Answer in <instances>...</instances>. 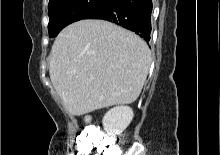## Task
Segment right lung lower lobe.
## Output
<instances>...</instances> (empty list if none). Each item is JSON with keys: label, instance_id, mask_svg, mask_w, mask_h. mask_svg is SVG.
<instances>
[{"label": "right lung lower lobe", "instance_id": "obj_1", "mask_svg": "<svg viewBox=\"0 0 220 155\" xmlns=\"http://www.w3.org/2000/svg\"><path fill=\"white\" fill-rule=\"evenodd\" d=\"M152 0H116L85 19H103L150 40Z\"/></svg>", "mask_w": 220, "mask_h": 155}]
</instances>
